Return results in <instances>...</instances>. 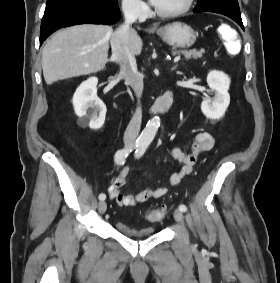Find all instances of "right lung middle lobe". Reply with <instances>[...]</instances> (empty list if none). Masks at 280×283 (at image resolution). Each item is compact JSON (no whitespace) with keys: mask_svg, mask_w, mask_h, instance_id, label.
<instances>
[{"mask_svg":"<svg viewBox=\"0 0 280 283\" xmlns=\"http://www.w3.org/2000/svg\"><path fill=\"white\" fill-rule=\"evenodd\" d=\"M117 0H47L45 12L67 7L107 8Z\"/></svg>","mask_w":280,"mask_h":283,"instance_id":"1","label":"right lung middle lobe"}]
</instances>
